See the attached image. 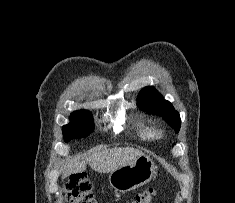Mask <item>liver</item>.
<instances>
[{"label":"liver","mask_w":235,"mask_h":203,"mask_svg":"<svg viewBox=\"0 0 235 203\" xmlns=\"http://www.w3.org/2000/svg\"><path fill=\"white\" fill-rule=\"evenodd\" d=\"M144 155L142 151L134 148H112L109 150H95L85 159H76L68 164L64 176L86 170L88 163L91 168L99 173H111L112 171L131 164L139 156Z\"/></svg>","instance_id":"1"}]
</instances>
